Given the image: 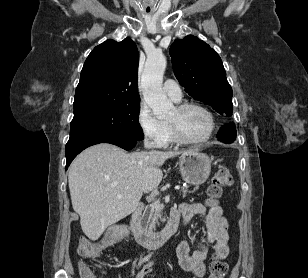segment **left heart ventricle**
<instances>
[{
    "instance_id": "1",
    "label": "left heart ventricle",
    "mask_w": 308,
    "mask_h": 278,
    "mask_svg": "<svg viewBox=\"0 0 308 278\" xmlns=\"http://www.w3.org/2000/svg\"><path fill=\"white\" fill-rule=\"evenodd\" d=\"M166 120L174 124L183 135L191 139L205 137L210 127L207 115L197 108H189L184 111H178L174 108Z\"/></svg>"
}]
</instances>
